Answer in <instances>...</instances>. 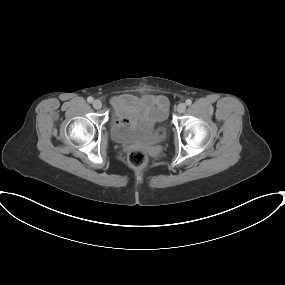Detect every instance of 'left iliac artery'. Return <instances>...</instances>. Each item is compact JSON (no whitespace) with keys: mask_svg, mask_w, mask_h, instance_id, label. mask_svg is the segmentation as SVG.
Returning <instances> with one entry per match:
<instances>
[{"mask_svg":"<svg viewBox=\"0 0 285 285\" xmlns=\"http://www.w3.org/2000/svg\"><path fill=\"white\" fill-rule=\"evenodd\" d=\"M185 103H186V105H191V103H192V101L190 100V99H187L186 101H185Z\"/></svg>","mask_w":285,"mask_h":285,"instance_id":"1","label":"left iliac artery"}]
</instances>
